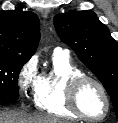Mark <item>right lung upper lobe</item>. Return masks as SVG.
<instances>
[{
	"instance_id": "cb5924a9",
	"label": "right lung upper lobe",
	"mask_w": 118,
	"mask_h": 123,
	"mask_svg": "<svg viewBox=\"0 0 118 123\" xmlns=\"http://www.w3.org/2000/svg\"><path fill=\"white\" fill-rule=\"evenodd\" d=\"M40 40V23L32 12L0 11V55L29 60Z\"/></svg>"
}]
</instances>
